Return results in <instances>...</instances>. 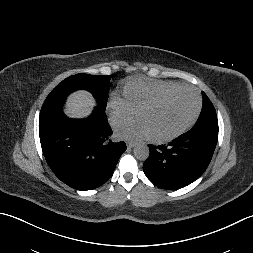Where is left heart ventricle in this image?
Instances as JSON below:
<instances>
[{"mask_svg":"<svg viewBox=\"0 0 253 253\" xmlns=\"http://www.w3.org/2000/svg\"><path fill=\"white\" fill-rule=\"evenodd\" d=\"M197 106L196 96L180 91L159 105L144 111L140 116L151 136L169 135L183 126L193 115Z\"/></svg>","mask_w":253,"mask_h":253,"instance_id":"left-heart-ventricle-1","label":"left heart ventricle"}]
</instances>
